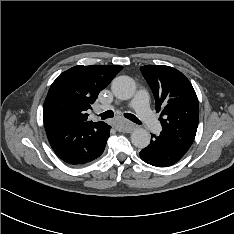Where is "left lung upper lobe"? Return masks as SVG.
I'll use <instances>...</instances> for the list:
<instances>
[{"mask_svg":"<svg viewBox=\"0 0 234 234\" xmlns=\"http://www.w3.org/2000/svg\"><path fill=\"white\" fill-rule=\"evenodd\" d=\"M140 69L154 94L156 112H161V133L188 151L199 120L198 98L191 83L169 66L146 65Z\"/></svg>","mask_w":234,"mask_h":234,"instance_id":"1","label":"left lung upper lobe"}]
</instances>
